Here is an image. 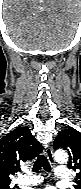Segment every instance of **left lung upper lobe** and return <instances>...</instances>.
<instances>
[{
	"instance_id": "1",
	"label": "left lung upper lobe",
	"mask_w": 81,
	"mask_h": 189,
	"mask_svg": "<svg viewBox=\"0 0 81 189\" xmlns=\"http://www.w3.org/2000/svg\"><path fill=\"white\" fill-rule=\"evenodd\" d=\"M54 149H65L69 153L68 167L73 170H80L74 182L75 189H81V133L72 127L60 132L56 137Z\"/></svg>"
}]
</instances>
